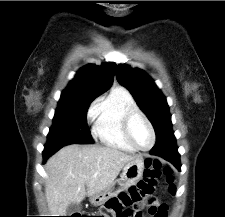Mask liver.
Instances as JSON below:
<instances>
[{
    "instance_id": "liver-1",
    "label": "liver",
    "mask_w": 225,
    "mask_h": 217,
    "mask_svg": "<svg viewBox=\"0 0 225 217\" xmlns=\"http://www.w3.org/2000/svg\"><path fill=\"white\" fill-rule=\"evenodd\" d=\"M138 158L116 148L72 144L45 165V194L53 216H66L70 203H80L109 187L126 163Z\"/></svg>"
}]
</instances>
